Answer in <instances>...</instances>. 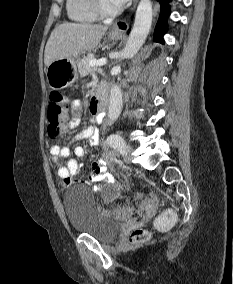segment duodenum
Returning <instances> with one entry per match:
<instances>
[{
	"mask_svg": "<svg viewBox=\"0 0 233 284\" xmlns=\"http://www.w3.org/2000/svg\"><path fill=\"white\" fill-rule=\"evenodd\" d=\"M95 102L99 106L100 109H104L106 104H107V95L105 94L104 91L99 90L97 93V96L95 98Z\"/></svg>",
	"mask_w": 233,
	"mask_h": 284,
	"instance_id": "410a0bca",
	"label": "duodenum"
}]
</instances>
